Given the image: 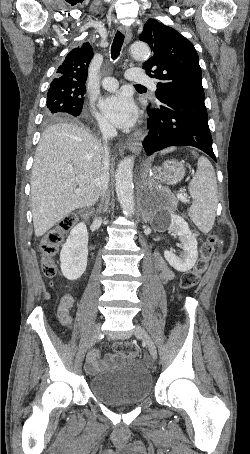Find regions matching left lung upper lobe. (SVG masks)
<instances>
[{
    "mask_svg": "<svg viewBox=\"0 0 250 454\" xmlns=\"http://www.w3.org/2000/svg\"><path fill=\"white\" fill-rule=\"evenodd\" d=\"M153 56L143 64L147 74L158 80L156 97L204 98L201 68L193 44L169 26L149 19L140 35Z\"/></svg>",
    "mask_w": 250,
    "mask_h": 454,
    "instance_id": "1",
    "label": "left lung upper lobe"
}]
</instances>
